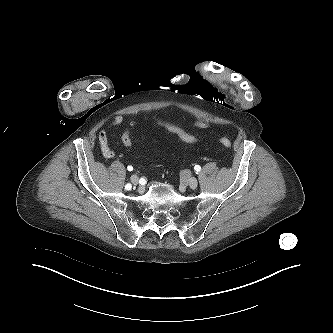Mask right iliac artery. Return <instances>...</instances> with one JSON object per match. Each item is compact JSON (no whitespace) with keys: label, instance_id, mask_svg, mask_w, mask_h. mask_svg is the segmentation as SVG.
<instances>
[{"label":"right iliac artery","instance_id":"1","mask_svg":"<svg viewBox=\"0 0 333 333\" xmlns=\"http://www.w3.org/2000/svg\"><path fill=\"white\" fill-rule=\"evenodd\" d=\"M131 187H132V186H131V184H130V183H128V184H126V185H125V189H126V190H130V189H131Z\"/></svg>","mask_w":333,"mask_h":333}]
</instances>
